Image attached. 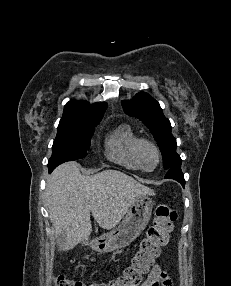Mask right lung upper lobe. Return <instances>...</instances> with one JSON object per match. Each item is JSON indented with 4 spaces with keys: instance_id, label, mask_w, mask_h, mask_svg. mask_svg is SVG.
<instances>
[{
    "instance_id": "cb5924a9",
    "label": "right lung upper lobe",
    "mask_w": 231,
    "mask_h": 286,
    "mask_svg": "<svg viewBox=\"0 0 231 286\" xmlns=\"http://www.w3.org/2000/svg\"><path fill=\"white\" fill-rule=\"evenodd\" d=\"M107 104H89L84 101H69L64 108L63 115H103Z\"/></svg>"
}]
</instances>
